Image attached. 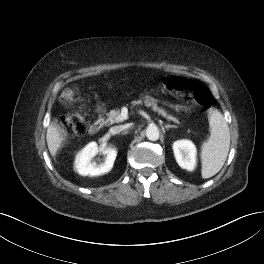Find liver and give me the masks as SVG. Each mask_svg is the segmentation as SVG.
<instances>
[{
    "label": "liver",
    "mask_w": 264,
    "mask_h": 264,
    "mask_svg": "<svg viewBox=\"0 0 264 264\" xmlns=\"http://www.w3.org/2000/svg\"><path fill=\"white\" fill-rule=\"evenodd\" d=\"M64 140V131L59 126L50 124L47 128L46 141L52 157H55L58 150L62 148Z\"/></svg>",
    "instance_id": "liver-1"
}]
</instances>
